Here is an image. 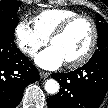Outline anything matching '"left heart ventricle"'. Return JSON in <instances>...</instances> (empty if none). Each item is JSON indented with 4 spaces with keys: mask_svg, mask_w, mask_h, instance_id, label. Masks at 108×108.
<instances>
[{
    "mask_svg": "<svg viewBox=\"0 0 108 108\" xmlns=\"http://www.w3.org/2000/svg\"><path fill=\"white\" fill-rule=\"evenodd\" d=\"M92 31L88 22H75L63 35L53 40L52 46L62 54L64 61H72L80 57L88 48Z\"/></svg>",
    "mask_w": 108,
    "mask_h": 108,
    "instance_id": "1",
    "label": "left heart ventricle"
}]
</instances>
